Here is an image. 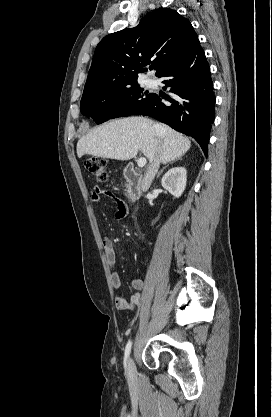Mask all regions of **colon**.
Listing matches in <instances>:
<instances>
[{"label": "colon", "instance_id": "obj_1", "mask_svg": "<svg viewBox=\"0 0 272 417\" xmlns=\"http://www.w3.org/2000/svg\"><path fill=\"white\" fill-rule=\"evenodd\" d=\"M85 167L100 181H104L108 177L107 162L101 157L93 156L86 159Z\"/></svg>", "mask_w": 272, "mask_h": 417}]
</instances>
